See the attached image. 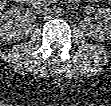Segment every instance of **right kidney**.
Segmentation results:
<instances>
[{"label":"right kidney","instance_id":"obj_1","mask_svg":"<svg viewBox=\"0 0 111 106\" xmlns=\"http://www.w3.org/2000/svg\"><path fill=\"white\" fill-rule=\"evenodd\" d=\"M36 17L32 13H25L22 6L10 8L1 17L0 35L3 41H20L34 28Z\"/></svg>","mask_w":111,"mask_h":106}]
</instances>
